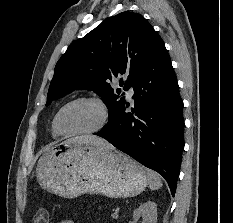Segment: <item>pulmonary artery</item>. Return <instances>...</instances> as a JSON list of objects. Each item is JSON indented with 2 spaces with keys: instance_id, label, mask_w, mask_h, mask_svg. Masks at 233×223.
<instances>
[{
  "instance_id": "1",
  "label": "pulmonary artery",
  "mask_w": 233,
  "mask_h": 223,
  "mask_svg": "<svg viewBox=\"0 0 233 223\" xmlns=\"http://www.w3.org/2000/svg\"><path fill=\"white\" fill-rule=\"evenodd\" d=\"M124 78H127V75H124ZM134 93H135L134 87H133V85L130 84L129 88H128V95H129V97H133Z\"/></svg>"
}]
</instances>
